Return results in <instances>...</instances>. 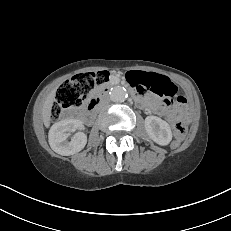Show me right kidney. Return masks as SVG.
I'll list each match as a JSON object with an SVG mask.
<instances>
[{
    "instance_id": "1",
    "label": "right kidney",
    "mask_w": 231,
    "mask_h": 231,
    "mask_svg": "<svg viewBox=\"0 0 231 231\" xmlns=\"http://www.w3.org/2000/svg\"><path fill=\"white\" fill-rule=\"evenodd\" d=\"M82 122L77 119H67L53 124L49 131L48 139L53 151L60 155L68 156L81 151L86 143L87 136L83 132L76 133L70 141L69 133L80 129Z\"/></svg>"
}]
</instances>
